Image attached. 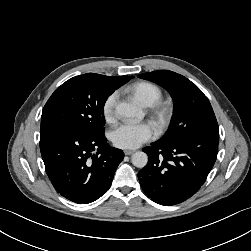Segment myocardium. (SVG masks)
I'll return each mask as SVG.
<instances>
[{"label": "myocardium", "mask_w": 251, "mask_h": 251, "mask_svg": "<svg viewBox=\"0 0 251 251\" xmlns=\"http://www.w3.org/2000/svg\"><path fill=\"white\" fill-rule=\"evenodd\" d=\"M151 113L157 125L163 129L172 119L173 106L166 101H158L151 107Z\"/></svg>", "instance_id": "f54148a6"}]
</instances>
